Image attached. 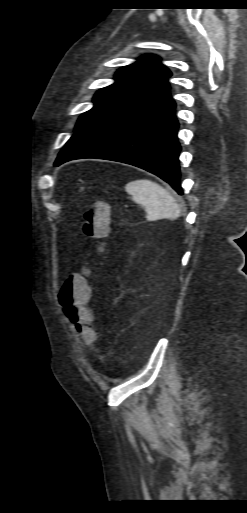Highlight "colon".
Masks as SVG:
<instances>
[{
    "label": "colon",
    "mask_w": 247,
    "mask_h": 513,
    "mask_svg": "<svg viewBox=\"0 0 247 513\" xmlns=\"http://www.w3.org/2000/svg\"><path fill=\"white\" fill-rule=\"evenodd\" d=\"M111 220V208L106 202H98L83 214L82 230L85 236L96 241V249L103 250V240L107 237ZM89 268L69 276L61 286L58 298L66 317L87 342L96 338L93 328V313L87 302L91 294Z\"/></svg>",
    "instance_id": "colon-1"
}]
</instances>
